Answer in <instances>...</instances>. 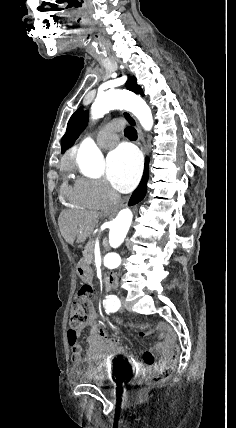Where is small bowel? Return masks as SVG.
<instances>
[{"mask_svg": "<svg viewBox=\"0 0 236 428\" xmlns=\"http://www.w3.org/2000/svg\"><path fill=\"white\" fill-rule=\"evenodd\" d=\"M84 327L89 328L87 337L88 349L85 359L88 361L111 360L117 357H124L126 362L137 370L144 368H157L163 365L167 358V348L164 344L154 346L151 350L145 352L142 361H139L134 356L126 353L122 343L115 338H109L106 330L99 325L98 317L92 306L89 305L85 322L77 329V339L79 333ZM160 329L169 331L168 328L161 324ZM69 341V340H68ZM72 358L74 363H80L83 358L81 355V347L76 341L71 344Z\"/></svg>", "mask_w": 236, "mask_h": 428, "instance_id": "small-bowel-1", "label": "small bowel"}]
</instances>
